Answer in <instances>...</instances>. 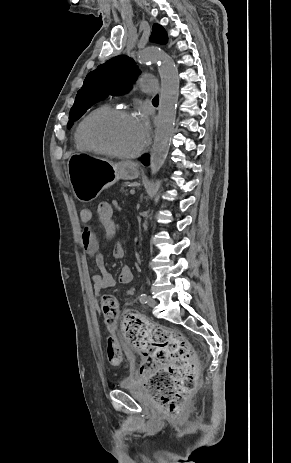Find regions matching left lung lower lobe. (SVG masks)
Segmentation results:
<instances>
[{
	"label": "left lung lower lobe",
	"instance_id": "obj_1",
	"mask_svg": "<svg viewBox=\"0 0 291 463\" xmlns=\"http://www.w3.org/2000/svg\"><path fill=\"white\" fill-rule=\"evenodd\" d=\"M142 162L144 165H149V155L148 154H145L142 158H141Z\"/></svg>",
	"mask_w": 291,
	"mask_h": 463
}]
</instances>
